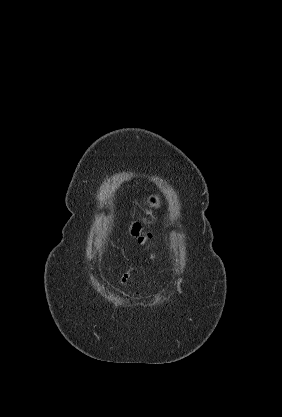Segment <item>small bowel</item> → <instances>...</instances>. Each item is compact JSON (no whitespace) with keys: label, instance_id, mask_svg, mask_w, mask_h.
I'll return each mask as SVG.
<instances>
[{"label":"small bowel","instance_id":"1","mask_svg":"<svg viewBox=\"0 0 282 417\" xmlns=\"http://www.w3.org/2000/svg\"><path fill=\"white\" fill-rule=\"evenodd\" d=\"M133 269L128 270L121 278V284L125 285L128 281V279L130 278V275L132 273ZM136 296H141V292H136L135 293Z\"/></svg>","mask_w":282,"mask_h":417}]
</instances>
